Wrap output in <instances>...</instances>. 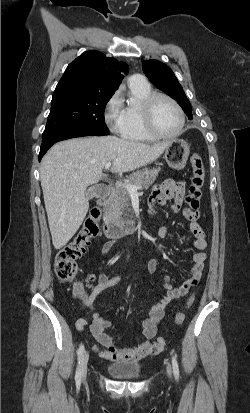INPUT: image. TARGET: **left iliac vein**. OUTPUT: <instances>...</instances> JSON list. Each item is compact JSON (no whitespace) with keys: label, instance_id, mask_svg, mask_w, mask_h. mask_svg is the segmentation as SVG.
<instances>
[{"label":"left iliac vein","instance_id":"4c4485c4","mask_svg":"<svg viewBox=\"0 0 250 413\" xmlns=\"http://www.w3.org/2000/svg\"><path fill=\"white\" fill-rule=\"evenodd\" d=\"M167 373H168V376H171L172 374V369L170 365L167 366Z\"/></svg>","mask_w":250,"mask_h":413}]
</instances>
